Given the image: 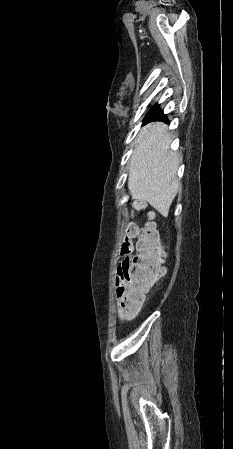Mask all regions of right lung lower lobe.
<instances>
[{"mask_svg":"<svg viewBox=\"0 0 233 449\" xmlns=\"http://www.w3.org/2000/svg\"><path fill=\"white\" fill-rule=\"evenodd\" d=\"M151 121H164V122H168V119H167V116L164 115V114L161 112V113H159L158 115H156V116H154L153 118H151L150 120L144 122V124H145V123H148V122H151Z\"/></svg>","mask_w":233,"mask_h":449,"instance_id":"98d812e1","label":"right lung lower lobe"}]
</instances>
